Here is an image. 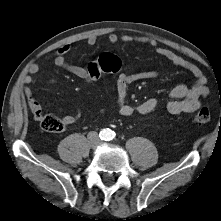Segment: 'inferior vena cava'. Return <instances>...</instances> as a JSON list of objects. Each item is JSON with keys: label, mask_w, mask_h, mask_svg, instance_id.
I'll use <instances>...</instances> for the list:
<instances>
[{"label": "inferior vena cava", "mask_w": 221, "mask_h": 221, "mask_svg": "<svg viewBox=\"0 0 221 221\" xmlns=\"http://www.w3.org/2000/svg\"><path fill=\"white\" fill-rule=\"evenodd\" d=\"M91 141L92 143L94 144H97L99 142V138L96 134H94L92 137H91Z\"/></svg>", "instance_id": "602c4592"}]
</instances>
